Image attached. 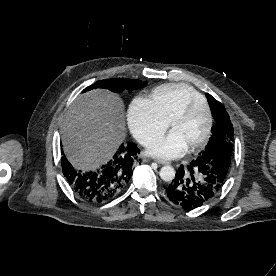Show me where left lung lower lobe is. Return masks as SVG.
<instances>
[{
  "label": "left lung lower lobe",
  "mask_w": 276,
  "mask_h": 276,
  "mask_svg": "<svg viewBox=\"0 0 276 276\" xmlns=\"http://www.w3.org/2000/svg\"><path fill=\"white\" fill-rule=\"evenodd\" d=\"M203 161L198 157L187 167L181 165L175 179L166 187L168 198L183 209L202 206L215 197L223 186L222 178Z\"/></svg>",
  "instance_id": "1"
}]
</instances>
